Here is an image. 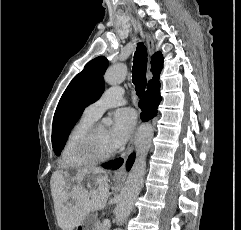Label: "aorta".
<instances>
[{
	"mask_svg": "<svg viewBox=\"0 0 241 230\" xmlns=\"http://www.w3.org/2000/svg\"><path fill=\"white\" fill-rule=\"evenodd\" d=\"M126 74V65L123 63H117L107 69L104 74V81L112 86L118 85L124 81ZM103 122L109 124L110 120L104 119ZM152 138V126L150 124L141 125L135 136L136 158L128 174L125 185L119 194L118 202L114 209L117 225V228L114 230H122L120 226L131 213L135 200L142 189L146 173V157L151 146Z\"/></svg>",
	"mask_w": 241,
	"mask_h": 230,
	"instance_id": "762f6f07",
	"label": "aorta"
}]
</instances>
